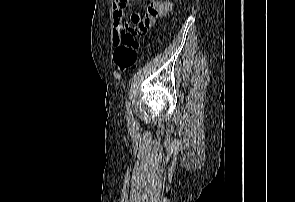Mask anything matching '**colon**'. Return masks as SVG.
Wrapping results in <instances>:
<instances>
[{
  "label": "colon",
  "mask_w": 295,
  "mask_h": 202,
  "mask_svg": "<svg viewBox=\"0 0 295 202\" xmlns=\"http://www.w3.org/2000/svg\"><path fill=\"white\" fill-rule=\"evenodd\" d=\"M139 43L132 30H126L121 34L119 45L113 54V60L118 70L125 71L132 67L137 60V48Z\"/></svg>",
  "instance_id": "colon-1"
}]
</instances>
